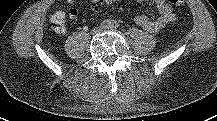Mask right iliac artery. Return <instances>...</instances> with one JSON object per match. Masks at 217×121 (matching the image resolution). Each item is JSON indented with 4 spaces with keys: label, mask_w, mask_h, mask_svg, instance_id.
<instances>
[{
    "label": "right iliac artery",
    "mask_w": 217,
    "mask_h": 121,
    "mask_svg": "<svg viewBox=\"0 0 217 121\" xmlns=\"http://www.w3.org/2000/svg\"><path fill=\"white\" fill-rule=\"evenodd\" d=\"M108 25H109L108 21H104V22L102 23V26H103V27H107Z\"/></svg>",
    "instance_id": "right-iliac-artery-1"
}]
</instances>
